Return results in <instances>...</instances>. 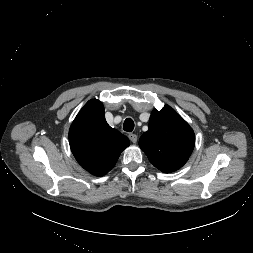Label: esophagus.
Listing matches in <instances>:
<instances>
[{
	"label": "esophagus",
	"mask_w": 253,
	"mask_h": 253,
	"mask_svg": "<svg viewBox=\"0 0 253 253\" xmlns=\"http://www.w3.org/2000/svg\"><path fill=\"white\" fill-rule=\"evenodd\" d=\"M128 137H129V139H130V141H131L132 143H136L137 140H138V136H137L136 134H133V133H130V134L128 135Z\"/></svg>",
	"instance_id": "34e87169"
}]
</instances>
